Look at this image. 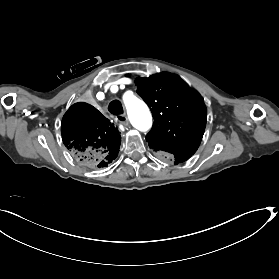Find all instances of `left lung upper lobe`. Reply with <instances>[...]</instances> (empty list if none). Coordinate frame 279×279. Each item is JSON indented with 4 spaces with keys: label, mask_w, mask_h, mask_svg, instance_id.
Masks as SVG:
<instances>
[{
    "label": "left lung upper lobe",
    "mask_w": 279,
    "mask_h": 279,
    "mask_svg": "<svg viewBox=\"0 0 279 279\" xmlns=\"http://www.w3.org/2000/svg\"><path fill=\"white\" fill-rule=\"evenodd\" d=\"M135 84L154 117L146 136L149 146L167 156L193 155L206 127L207 110L200 95L168 72L137 78Z\"/></svg>",
    "instance_id": "left-lung-upper-lobe-1"
}]
</instances>
